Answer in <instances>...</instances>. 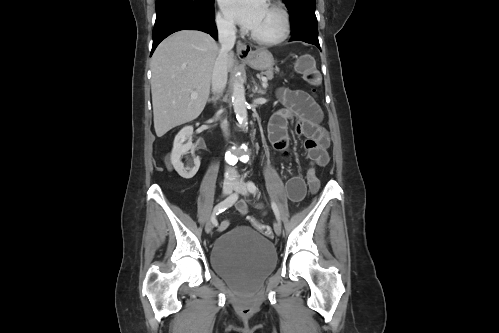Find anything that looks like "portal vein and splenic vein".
<instances>
[{"mask_svg":"<svg viewBox=\"0 0 499 333\" xmlns=\"http://www.w3.org/2000/svg\"><path fill=\"white\" fill-rule=\"evenodd\" d=\"M262 81H263V85H264V87H266V82H267V79L263 77V78H262ZM191 98H193V99L197 98V93L192 92V93H191Z\"/></svg>","mask_w":499,"mask_h":333,"instance_id":"1","label":"portal vein and splenic vein"}]
</instances>
